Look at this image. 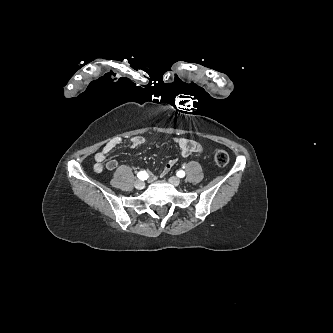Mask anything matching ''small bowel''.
<instances>
[{
	"label": "small bowel",
	"instance_id": "small-bowel-1",
	"mask_svg": "<svg viewBox=\"0 0 333 333\" xmlns=\"http://www.w3.org/2000/svg\"><path fill=\"white\" fill-rule=\"evenodd\" d=\"M123 143V140L121 138H113L110 141H108L104 147L98 151L94 156V170L97 173H100L103 171L104 168H106L109 171L115 170L118 166V162L115 159H108L106 160L108 154L112 152L117 146ZM146 143V139L142 136H136L133 137L130 140V146L132 148H138ZM173 143L178 148L180 154L184 157H187L193 153L200 154L202 152V146L193 140L186 139V138H174ZM177 163L176 158L170 159L168 162L164 164V166L159 171V175L163 176L167 174L170 169L175 166ZM151 178L155 180L157 178V174L154 172L150 173Z\"/></svg>",
	"mask_w": 333,
	"mask_h": 333
}]
</instances>
